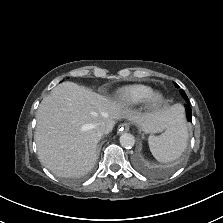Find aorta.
I'll use <instances>...</instances> for the list:
<instances>
[{"label":"aorta","instance_id":"1","mask_svg":"<svg viewBox=\"0 0 223 223\" xmlns=\"http://www.w3.org/2000/svg\"><path fill=\"white\" fill-rule=\"evenodd\" d=\"M120 144L124 148H131L135 144V138L130 133H124L120 136Z\"/></svg>","mask_w":223,"mask_h":223}]
</instances>
